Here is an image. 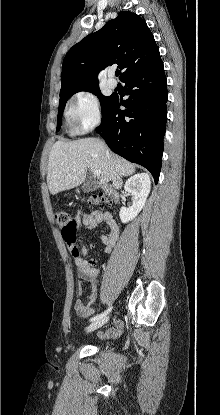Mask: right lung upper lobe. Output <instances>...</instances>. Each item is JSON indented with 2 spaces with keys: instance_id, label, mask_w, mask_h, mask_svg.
Here are the masks:
<instances>
[{
  "instance_id": "obj_1",
  "label": "right lung upper lobe",
  "mask_w": 220,
  "mask_h": 415,
  "mask_svg": "<svg viewBox=\"0 0 220 415\" xmlns=\"http://www.w3.org/2000/svg\"><path fill=\"white\" fill-rule=\"evenodd\" d=\"M159 60V49L146 22L135 13L121 11L68 51L62 65L60 94L79 86L98 85L97 75L108 65L118 64L122 80Z\"/></svg>"
}]
</instances>
